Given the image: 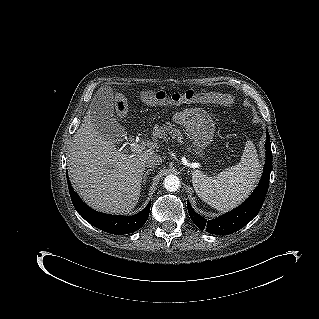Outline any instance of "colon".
<instances>
[{"label":"colon","instance_id":"colon-1","mask_svg":"<svg viewBox=\"0 0 319 319\" xmlns=\"http://www.w3.org/2000/svg\"><path fill=\"white\" fill-rule=\"evenodd\" d=\"M141 98L144 102L151 105H169L185 102H218L223 105L230 103V101L223 99L216 93L195 90H187L182 93L168 95L162 90L147 89L141 92ZM127 105V99L119 95L115 103L118 114H124L127 111Z\"/></svg>","mask_w":319,"mask_h":319}]
</instances>
